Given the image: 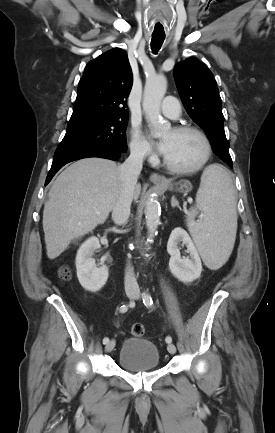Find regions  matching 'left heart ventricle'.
I'll list each match as a JSON object with an SVG mask.
<instances>
[{
    "label": "left heart ventricle",
    "mask_w": 275,
    "mask_h": 433,
    "mask_svg": "<svg viewBox=\"0 0 275 433\" xmlns=\"http://www.w3.org/2000/svg\"><path fill=\"white\" fill-rule=\"evenodd\" d=\"M168 148L164 154L174 166L189 168L197 165L203 158L205 147L203 141L193 133H177L173 130L162 136Z\"/></svg>",
    "instance_id": "1"
}]
</instances>
